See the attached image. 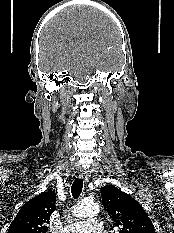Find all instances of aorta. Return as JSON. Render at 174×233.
<instances>
[{"instance_id": "aorta-1", "label": "aorta", "mask_w": 174, "mask_h": 233, "mask_svg": "<svg viewBox=\"0 0 174 233\" xmlns=\"http://www.w3.org/2000/svg\"><path fill=\"white\" fill-rule=\"evenodd\" d=\"M73 212L78 217H93L98 215L99 207L95 203L82 201L76 204Z\"/></svg>"}]
</instances>
